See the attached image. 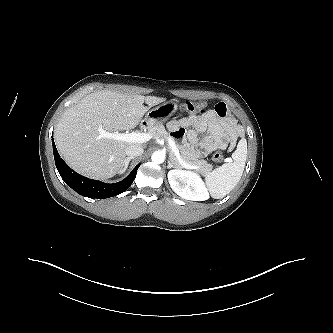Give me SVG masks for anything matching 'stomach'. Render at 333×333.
<instances>
[{
  "mask_svg": "<svg viewBox=\"0 0 333 333\" xmlns=\"http://www.w3.org/2000/svg\"><path fill=\"white\" fill-rule=\"evenodd\" d=\"M178 109L177 102L165 101L163 104L151 109L145 116L143 122L149 127L160 124L169 119Z\"/></svg>",
  "mask_w": 333,
  "mask_h": 333,
  "instance_id": "stomach-1",
  "label": "stomach"
}]
</instances>
